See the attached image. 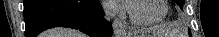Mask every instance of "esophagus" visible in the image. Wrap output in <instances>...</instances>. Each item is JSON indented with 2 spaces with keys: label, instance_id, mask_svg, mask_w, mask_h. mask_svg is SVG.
<instances>
[{
  "label": "esophagus",
  "instance_id": "obj_1",
  "mask_svg": "<svg viewBox=\"0 0 219 37\" xmlns=\"http://www.w3.org/2000/svg\"><path fill=\"white\" fill-rule=\"evenodd\" d=\"M113 28H114V33L118 36V37H125L127 34V31L125 29L124 24L118 20L115 19L113 22Z\"/></svg>",
  "mask_w": 219,
  "mask_h": 37
}]
</instances>
